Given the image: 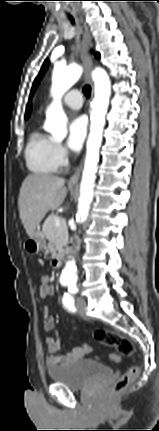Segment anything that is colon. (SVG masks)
Here are the masks:
<instances>
[{
    "instance_id": "colon-1",
    "label": "colon",
    "mask_w": 159,
    "mask_h": 431,
    "mask_svg": "<svg viewBox=\"0 0 159 431\" xmlns=\"http://www.w3.org/2000/svg\"><path fill=\"white\" fill-rule=\"evenodd\" d=\"M53 278H49L48 290L49 296L54 298L57 295L55 291L56 283L53 282ZM95 338L98 342L103 345L112 347L114 352L110 355V362L112 366L116 365V361H119L122 357L130 356L134 352L133 342L112 330L98 329L95 331ZM139 369L136 366H132L127 369L121 378H119L111 389L112 396H118L122 394L126 388L137 378Z\"/></svg>"
}]
</instances>
